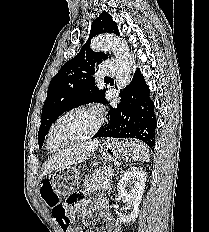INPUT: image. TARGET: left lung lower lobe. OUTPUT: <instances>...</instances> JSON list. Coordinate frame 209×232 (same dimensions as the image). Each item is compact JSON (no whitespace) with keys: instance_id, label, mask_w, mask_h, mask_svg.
Listing matches in <instances>:
<instances>
[{"instance_id":"obj_1","label":"left lung lower lobe","mask_w":209,"mask_h":232,"mask_svg":"<svg viewBox=\"0 0 209 232\" xmlns=\"http://www.w3.org/2000/svg\"><path fill=\"white\" fill-rule=\"evenodd\" d=\"M120 97V103L109 108V122L94 137L136 138L154 150V103L149 97V87L139 69L131 83L121 90Z\"/></svg>"}]
</instances>
